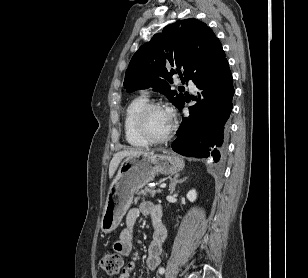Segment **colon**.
Wrapping results in <instances>:
<instances>
[{
  "instance_id": "colon-1",
  "label": "colon",
  "mask_w": 308,
  "mask_h": 278,
  "mask_svg": "<svg viewBox=\"0 0 308 278\" xmlns=\"http://www.w3.org/2000/svg\"><path fill=\"white\" fill-rule=\"evenodd\" d=\"M101 268L109 275H117L123 267L122 255L118 253L104 254L100 259Z\"/></svg>"
}]
</instances>
